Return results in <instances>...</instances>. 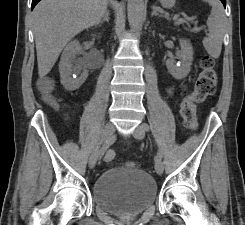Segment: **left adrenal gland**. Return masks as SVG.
<instances>
[{
  "instance_id": "left-adrenal-gland-1",
  "label": "left adrenal gland",
  "mask_w": 245,
  "mask_h": 225,
  "mask_svg": "<svg viewBox=\"0 0 245 225\" xmlns=\"http://www.w3.org/2000/svg\"><path fill=\"white\" fill-rule=\"evenodd\" d=\"M152 9H153V11H152V13H151V16L164 17L163 15H161V14H159V13L157 12V9H156L155 6H153Z\"/></svg>"
}]
</instances>
